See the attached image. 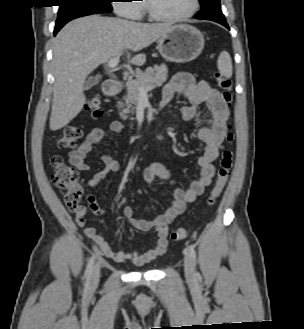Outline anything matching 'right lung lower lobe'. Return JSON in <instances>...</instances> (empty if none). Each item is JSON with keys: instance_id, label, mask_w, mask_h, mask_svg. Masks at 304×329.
I'll use <instances>...</instances> for the list:
<instances>
[{"instance_id": "obj_1", "label": "right lung lower lobe", "mask_w": 304, "mask_h": 329, "mask_svg": "<svg viewBox=\"0 0 304 329\" xmlns=\"http://www.w3.org/2000/svg\"><path fill=\"white\" fill-rule=\"evenodd\" d=\"M87 15H90V14H87ZM82 16H86V15H82ZM79 17H81V16H79ZM76 18H78V17H76ZM73 19H75V18H73ZM72 20V19H71ZM70 21V20H69ZM69 21H67V22H69ZM67 22H64V23H62V24H60V25H56L55 26V29H54V35H56L57 34V32L67 23Z\"/></svg>"}]
</instances>
